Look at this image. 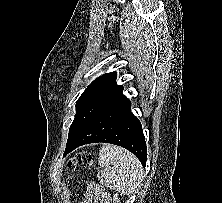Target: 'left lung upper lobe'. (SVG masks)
Masks as SVG:
<instances>
[{
  "label": "left lung upper lobe",
  "instance_id": "left-lung-upper-lobe-1",
  "mask_svg": "<svg viewBox=\"0 0 222 203\" xmlns=\"http://www.w3.org/2000/svg\"><path fill=\"white\" fill-rule=\"evenodd\" d=\"M121 87L116 83V72H111L98 77L85 89L76 103V115L69 129L67 143L83 131L103 103Z\"/></svg>",
  "mask_w": 222,
  "mask_h": 203
}]
</instances>
